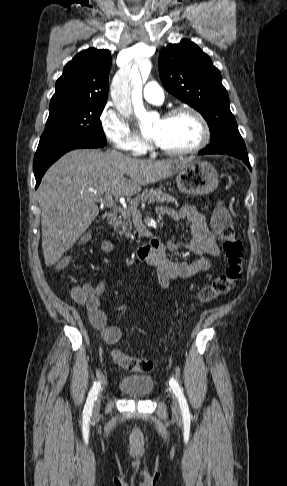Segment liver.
<instances>
[{
    "label": "liver",
    "instance_id": "1",
    "mask_svg": "<svg viewBox=\"0 0 287 486\" xmlns=\"http://www.w3.org/2000/svg\"><path fill=\"white\" fill-rule=\"evenodd\" d=\"M190 160H140L92 149L62 156L47 170L38 188L46 266L57 263L89 228L99 213L96 202L100 195L112 192L116 197H130L141 186L176 174Z\"/></svg>",
    "mask_w": 287,
    "mask_h": 486
}]
</instances>
